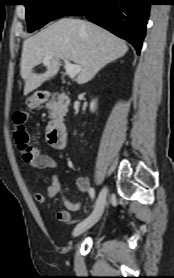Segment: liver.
I'll use <instances>...</instances> for the list:
<instances>
[{
    "label": "liver",
    "instance_id": "1",
    "mask_svg": "<svg viewBox=\"0 0 174 278\" xmlns=\"http://www.w3.org/2000/svg\"><path fill=\"white\" fill-rule=\"evenodd\" d=\"M127 51L124 40L98 25L80 19L62 18L23 43L20 75L25 81L24 95L58 73L60 56L81 67L76 81L84 84L102 67L121 58ZM45 57H50L49 63L43 62ZM41 63L46 71L34 73V67Z\"/></svg>",
    "mask_w": 174,
    "mask_h": 278
}]
</instances>
